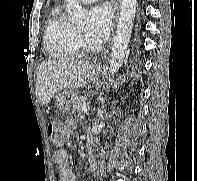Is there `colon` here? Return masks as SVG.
Wrapping results in <instances>:
<instances>
[{"mask_svg":"<svg viewBox=\"0 0 197 181\" xmlns=\"http://www.w3.org/2000/svg\"><path fill=\"white\" fill-rule=\"evenodd\" d=\"M50 138L56 143L60 144L63 140V131L59 124L50 123L47 127Z\"/></svg>","mask_w":197,"mask_h":181,"instance_id":"obj_1","label":"colon"}]
</instances>
